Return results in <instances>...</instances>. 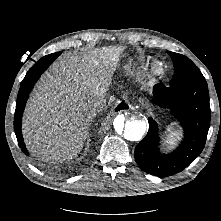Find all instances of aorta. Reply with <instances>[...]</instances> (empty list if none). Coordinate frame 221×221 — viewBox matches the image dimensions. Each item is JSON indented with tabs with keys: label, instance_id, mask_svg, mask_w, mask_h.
Here are the masks:
<instances>
[{
	"label": "aorta",
	"instance_id": "762f6f07",
	"mask_svg": "<svg viewBox=\"0 0 221 221\" xmlns=\"http://www.w3.org/2000/svg\"><path fill=\"white\" fill-rule=\"evenodd\" d=\"M147 128V123L138 114H120L113 120V132L125 141H139Z\"/></svg>",
	"mask_w": 221,
	"mask_h": 221
}]
</instances>
